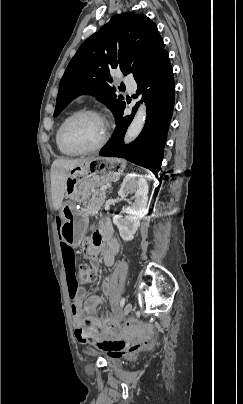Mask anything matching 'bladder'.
<instances>
[{
  "label": "bladder",
  "instance_id": "31cf9c89",
  "mask_svg": "<svg viewBox=\"0 0 243 404\" xmlns=\"http://www.w3.org/2000/svg\"><path fill=\"white\" fill-rule=\"evenodd\" d=\"M84 353L89 356H94L97 354V352L92 348H85ZM106 361L111 365H119L121 363V359L115 356H107Z\"/></svg>",
  "mask_w": 243,
  "mask_h": 404
}]
</instances>
